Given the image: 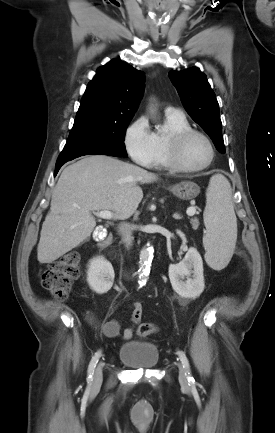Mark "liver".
<instances>
[{"label":"liver","mask_w":275,"mask_h":433,"mask_svg":"<svg viewBox=\"0 0 275 433\" xmlns=\"http://www.w3.org/2000/svg\"><path fill=\"white\" fill-rule=\"evenodd\" d=\"M158 180L154 173L106 155H91L66 167L52 194L37 247L40 263H52L90 237L92 211L133 215L143 198L138 183Z\"/></svg>","instance_id":"1"}]
</instances>
